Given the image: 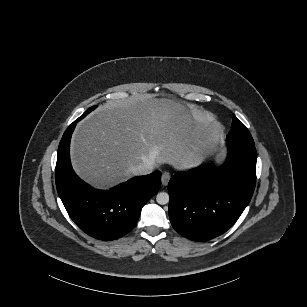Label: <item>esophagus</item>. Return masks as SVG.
<instances>
[{
    "label": "esophagus",
    "instance_id": "obj_1",
    "mask_svg": "<svg viewBox=\"0 0 307 307\" xmlns=\"http://www.w3.org/2000/svg\"><path fill=\"white\" fill-rule=\"evenodd\" d=\"M170 180V173L169 172H164L161 176V182L164 186L168 184Z\"/></svg>",
    "mask_w": 307,
    "mask_h": 307
}]
</instances>
